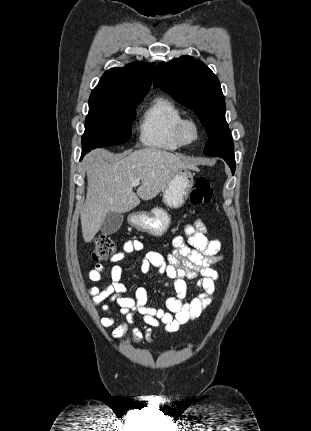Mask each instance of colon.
I'll list each match as a JSON object with an SVG mask.
<instances>
[{"mask_svg": "<svg viewBox=\"0 0 311 431\" xmlns=\"http://www.w3.org/2000/svg\"><path fill=\"white\" fill-rule=\"evenodd\" d=\"M213 196V189L210 181L205 177L195 179L192 191L190 193V202L192 206L199 207L209 203ZM116 250L114 240L108 235H101L96 240V245L92 253L95 261L109 259Z\"/></svg>", "mask_w": 311, "mask_h": 431, "instance_id": "obj_1", "label": "colon"}]
</instances>
